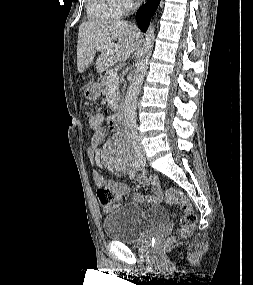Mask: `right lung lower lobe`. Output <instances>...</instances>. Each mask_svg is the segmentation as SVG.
Returning <instances> with one entry per match:
<instances>
[{
  "instance_id": "right-lung-lower-lobe-1",
  "label": "right lung lower lobe",
  "mask_w": 253,
  "mask_h": 285,
  "mask_svg": "<svg viewBox=\"0 0 253 285\" xmlns=\"http://www.w3.org/2000/svg\"><path fill=\"white\" fill-rule=\"evenodd\" d=\"M159 3L160 0H150L138 10L136 14L137 24L143 32L146 31L151 17L154 15Z\"/></svg>"
}]
</instances>
